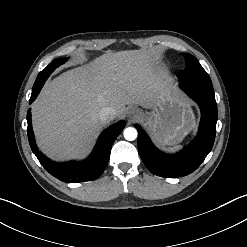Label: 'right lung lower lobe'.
Instances as JSON below:
<instances>
[{
  "label": "right lung lower lobe",
  "instance_id": "right-lung-lower-lobe-1",
  "mask_svg": "<svg viewBox=\"0 0 247 247\" xmlns=\"http://www.w3.org/2000/svg\"><path fill=\"white\" fill-rule=\"evenodd\" d=\"M44 84V83H43ZM43 84L33 87L30 103L38 96ZM27 133L28 139L33 153L45 170L67 183H78L95 180L104 172L110 158L111 147L117 136L125 127V123L120 121L112 127L105 130L95 147L91 157L83 162H69L65 164H57L47 159L37 148L31 124V111L27 112Z\"/></svg>",
  "mask_w": 247,
  "mask_h": 247
}]
</instances>
